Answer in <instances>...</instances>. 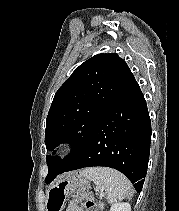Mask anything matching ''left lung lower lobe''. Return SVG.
I'll list each match as a JSON object with an SVG mask.
<instances>
[{"instance_id":"obj_1","label":"left lung lower lobe","mask_w":179,"mask_h":211,"mask_svg":"<svg viewBox=\"0 0 179 211\" xmlns=\"http://www.w3.org/2000/svg\"><path fill=\"white\" fill-rule=\"evenodd\" d=\"M150 142L151 122L146 101L131 73L99 118L81 154L65 171L111 167L122 172L140 193L147 173Z\"/></svg>"}]
</instances>
